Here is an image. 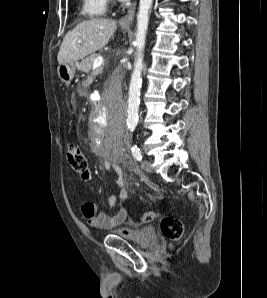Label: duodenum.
<instances>
[{
  "label": "duodenum",
  "instance_id": "1",
  "mask_svg": "<svg viewBox=\"0 0 267 298\" xmlns=\"http://www.w3.org/2000/svg\"><path fill=\"white\" fill-rule=\"evenodd\" d=\"M99 105H104V100L101 98H92L91 104H89L88 115H100Z\"/></svg>",
  "mask_w": 267,
  "mask_h": 298
}]
</instances>
